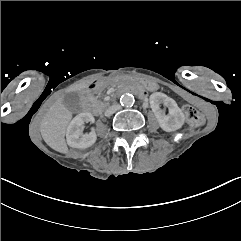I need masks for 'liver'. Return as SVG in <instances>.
Wrapping results in <instances>:
<instances>
[{
    "label": "liver",
    "instance_id": "1",
    "mask_svg": "<svg viewBox=\"0 0 241 241\" xmlns=\"http://www.w3.org/2000/svg\"><path fill=\"white\" fill-rule=\"evenodd\" d=\"M93 82V80L82 82L74 87L71 91L76 92L86 89ZM72 117V112L64 104L63 98H60L50 106L42 120L40 127L41 136L45 143L53 150L64 155L69 153L65 142V135L66 129L72 120Z\"/></svg>",
    "mask_w": 241,
    "mask_h": 241
}]
</instances>
